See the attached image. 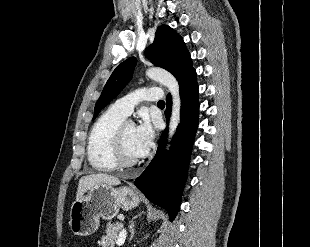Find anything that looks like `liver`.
<instances>
[{
  "instance_id": "1",
  "label": "liver",
  "mask_w": 310,
  "mask_h": 247,
  "mask_svg": "<svg viewBox=\"0 0 310 247\" xmlns=\"http://www.w3.org/2000/svg\"><path fill=\"white\" fill-rule=\"evenodd\" d=\"M120 184V180L112 175L97 173L90 174L80 178L78 183V189L76 199L83 197V195L91 188L97 185H109L116 186Z\"/></svg>"
}]
</instances>
